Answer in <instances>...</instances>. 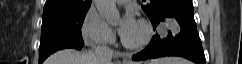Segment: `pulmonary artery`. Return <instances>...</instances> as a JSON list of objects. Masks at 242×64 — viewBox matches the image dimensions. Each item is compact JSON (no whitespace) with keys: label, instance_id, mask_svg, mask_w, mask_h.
<instances>
[{"label":"pulmonary artery","instance_id":"1","mask_svg":"<svg viewBox=\"0 0 242 64\" xmlns=\"http://www.w3.org/2000/svg\"><path fill=\"white\" fill-rule=\"evenodd\" d=\"M117 3H127L129 2L128 0H116Z\"/></svg>","mask_w":242,"mask_h":64}]
</instances>
